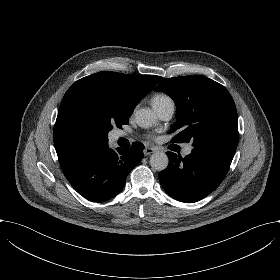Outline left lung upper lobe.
Masks as SVG:
<instances>
[{
  "label": "left lung upper lobe",
  "instance_id": "left-lung-upper-lobe-1",
  "mask_svg": "<svg viewBox=\"0 0 280 280\" xmlns=\"http://www.w3.org/2000/svg\"><path fill=\"white\" fill-rule=\"evenodd\" d=\"M154 91L169 95L176 104L172 142H193L194 148L235 152L239 140L235 103L221 84L204 76L167 78Z\"/></svg>",
  "mask_w": 280,
  "mask_h": 280
}]
</instances>
